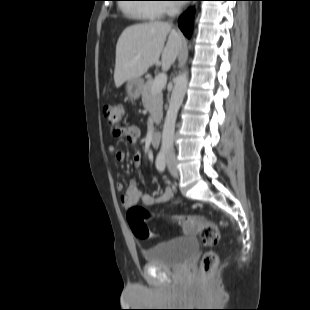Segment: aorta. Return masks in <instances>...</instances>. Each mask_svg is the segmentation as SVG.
Here are the masks:
<instances>
[{"label": "aorta", "mask_w": 310, "mask_h": 310, "mask_svg": "<svg viewBox=\"0 0 310 310\" xmlns=\"http://www.w3.org/2000/svg\"><path fill=\"white\" fill-rule=\"evenodd\" d=\"M188 85L187 70L182 71L175 80V85L171 94L169 107L166 113L163 132L162 148L171 149L174 142L175 124L179 108L183 102Z\"/></svg>", "instance_id": "1"}]
</instances>
